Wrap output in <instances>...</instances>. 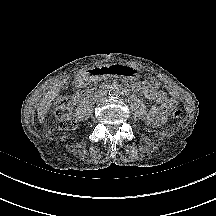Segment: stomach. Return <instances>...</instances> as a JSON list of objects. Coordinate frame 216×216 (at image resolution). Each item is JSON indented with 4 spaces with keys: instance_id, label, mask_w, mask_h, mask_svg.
Returning a JSON list of instances; mask_svg holds the SVG:
<instances>
[{
    "instance_id": "obj_1",
    "label": "stomach",
    "mask_w": 216,
    "mask_h": 216,
    "mask_svg": "<svg viewBox=\"0 0 216 216\" xmlns=\"http://www.w3.org/2000/svg\"><path fill=\"white\" fill-rule=\"evenodd\" d=\"M137 73L138 71L130 65L106 64L92 68L89 75L94 80L110 77L134 79Z\"/></svg>"
}]
</instances>
